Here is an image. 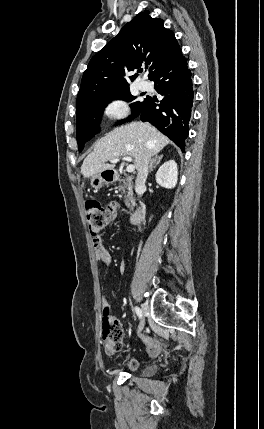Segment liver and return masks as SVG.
Listing matches in <instances>:
<instances>
[{
  "mask_svg": "<svg viewBox=\"0 0 264 429\" xmlns=\"http://www.w3.org/2000/svg\"><path fill=\"white\" fill-rule=\"evenodd\" d=\"M170 140L149 123L132 122L115 128L97 141L93 152L84 160L81 174L84 178L113 169L108 161L122 156L134 158V166L139 168L143 158L157 155Z\"/></svg>",
  "mask_w": 264,
  "mask_h": 429,
  "instance_id": "obj_1",
  "label": "liver"
}]
</instances>
